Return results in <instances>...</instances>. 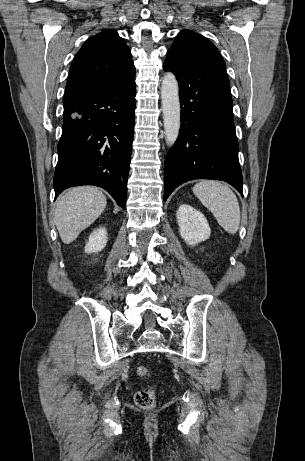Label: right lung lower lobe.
Instances as JSON below:
<instances>
[{"label":"right lung lower lobe","mask_w":305,"mask_h":461,"mask_svg":"<svg viewBox=\"0 0 305 461\" xmlns=\"http://www.w3.org/2000/svg\"><path fill=\"white\" fill-rule=\"evenodd\" d=\"M134 77L65 94L55 199L71 186L96 185L125 206L136 107Z\"/></svg>","instance_id":"obj_1"}]
</instances>
